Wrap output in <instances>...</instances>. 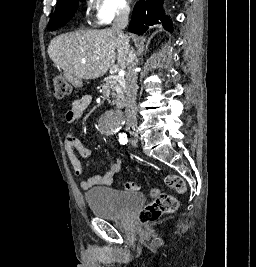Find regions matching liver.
<instances>
[{
    "mask_svg": "<svg viewBox=\"0 0 256 267\" xmlns=\"http://www.w3.org/2000/svg\"><path fill=\"white\" fill-rule=\"evenodd\" d=\"M129 42L107 30H75L61 34L48 46L49 58L66 72L69 82L101 78L117 60L125 70Z\"/></svg>",
    "mask_w": 256,
    "mask_h": 267,
    "instance_id": "6515ba94",
    "label": "liver"
}]
</instances>
